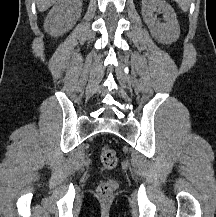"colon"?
<instances>
[{
  "label": "colon",
  "instance_id": "colon-1",
  "mask_svg": "<svg viewBox=\"0 0 216 217\" xmlns=\"http://www.w3.org/2000/svg\"><path fill=\"white\" fill-rule=\"evenodd\" d=\"M100 164L103 169L112 170L118 166V156L114 149L103 147L100 151ZM117 189L115 180H107L97 188V194L102 200H109Z\"/></svg>",
  "mask_w": 216,
  "mask_h": 217
}]
</instances>
